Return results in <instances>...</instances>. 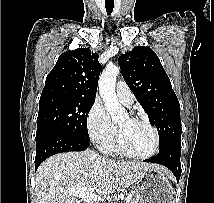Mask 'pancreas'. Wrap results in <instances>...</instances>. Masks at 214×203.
<instances>
[{"label":"pancreas","instance_id":"cf45deb5","mask_svg":"<svg viewBox=\"0 0 214 203\" xmlns=\"http://www.w3.org/2000/svg\"><path fill=\"white\" fill-rule=\"evenodd\" d=\"M126 203H137V201H136V199H130V200H127V202Z\"/></svg>","mask_w":214,"mask_h":203}]
</instances>
